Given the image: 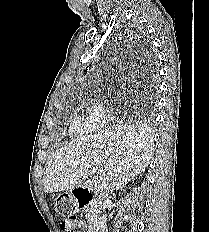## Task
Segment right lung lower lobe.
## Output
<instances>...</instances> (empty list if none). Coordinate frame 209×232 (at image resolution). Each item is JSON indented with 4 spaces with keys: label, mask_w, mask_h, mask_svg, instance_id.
Returning <instances> with one entry per match:
<instances>
[{
    "label": "right lung lower lobe",
    "mask_w": 209,
    "mask_h": 232,
    "mask_svg": "<svg viewBox=\"0 0 209 232\" xmlns=\"http://www.w3.org/2000/svg\"><path fill=\"white\" fill-rule=\"evenodd\" d=\"M141 54L150 72V70L152 69L155 63V56H154L152 49H150V47L145 45V48H143V50L141 51Z\"/></svg>",
    "instance_id": "right-lung-lower-lobe-1"
}]
</instances>
